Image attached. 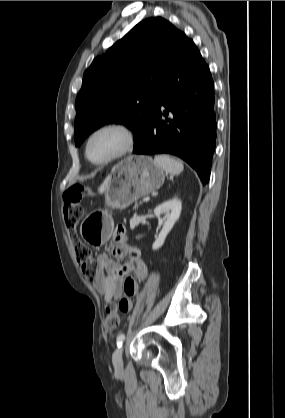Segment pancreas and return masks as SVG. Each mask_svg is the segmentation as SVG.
Returning a JSON list of instances; mask_svg holds the SVG:
<instances>
[{"instance_id":"pancreas-1","label":"pancreas","mask_w":285,"mask_h":418,"mask_svg":"<svg viewBox=\"0 0 285 418\" xmlns=\"http://www.w3.org/2000/svg\"><path fill=\"white\" fill-rule=\"evenodd\" d=\"M137 206H138V205H137V204H135V205H134V208H136Z\"/></svg>"}]
</instances>
